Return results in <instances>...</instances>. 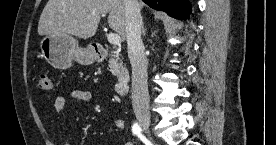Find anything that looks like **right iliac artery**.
<instances>
[{
  "instance_id": "82829eb1",
  "label": "right iliac artery",
  "mask_w": 276,
  "mask_h": 145,
  "mask_svg": "<svg viewBox=\"0 0 276 145\" xmlns=\"http://www.w3.org/2000/svg\"><path fill=\"white\" fill-rule=\"evenodd\" d=\"M132 133L136 136L141 135V127L137 122H135L132 126Z\"/></svg>"
}]
</instances>
